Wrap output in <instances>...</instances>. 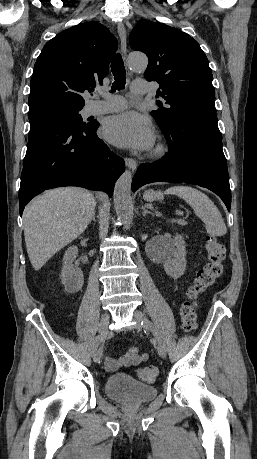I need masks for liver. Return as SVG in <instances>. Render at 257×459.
I'll use <instances>...</instances> for the list:
<instances>
[{
  "label": "liver",
  "mask_w": 257,
  "mask_h": 459,
  "mask_svg": "<svg viewBox=\"0 0 257 459\" xmlns=\"http://www.w3.org/2000/svg\"><path fill=\"white\" fill-rule=\"evenodd\" d=\"M95 206L90 191L67 187L49 190L26 207L24 237L36 271L85 231Z\"/></svg>",
  "instance_id": "liver-1"
}]
</instances>
